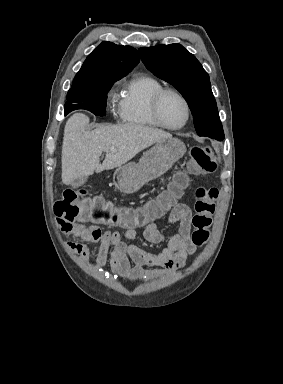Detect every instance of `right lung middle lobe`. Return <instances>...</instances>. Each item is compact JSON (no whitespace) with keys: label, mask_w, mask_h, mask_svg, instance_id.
Here are the masks:
<instances>
[{"label":"right lung middle lobe","mask_w":283,"mask_h":384,"mask_svg":"<svg viewBox=\"0 0 283 384\" xmlns=\"http://www.w3.org/2000/svg\"><path fill=\"white\" fill-rule=\"evenodd\" d=\"M114 83H106L85 88L70 89L65 103V114L86 109L97 116L106 115L107 93Z\"/></svg>","instance_id":"dd1d6c3e"}]
</instances>
